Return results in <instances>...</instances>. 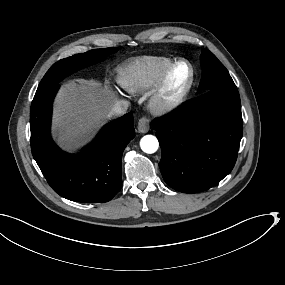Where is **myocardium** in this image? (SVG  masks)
I'll return each instance as SVG.
<instances>
[{
    "label": "myocardium",
    "mask_w": 285,
    "mask_h": 285,
    "mask_svg": "<svg viewBox=\"0 0 285 285\" xmlns=\"http://www.w3.org/2000/svg\"><path fill=\"white\" fill-rule=\"evenodd\" d=\"M177 69L171 67L161 80L147 93L146 107L155 115H164L179 107L187 97L193 81L192 71H188L186 81L180 82L178 92L173 97H167V91L176 75Z\"/></svg>",
    "instance_id": "1"
}]
</instances>
